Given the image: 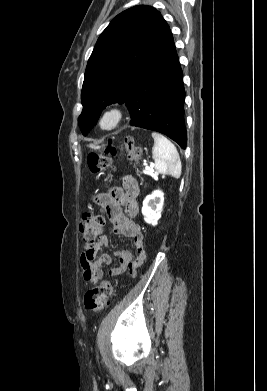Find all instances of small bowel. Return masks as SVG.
Instances as JSON below:
<instances>
[{"label":"small bowel","mask_w":267,"mask_h":391,"mask_svg":"<svg viewBox=\"0 0 267 391\" xmlns=\"http://www.w3.org/2000/svg\"><path fill=\"white\" fill-rule=\"evenodd\" d=\"M121 182V188L100 193L96 197L97 204L113 226V232L132 239L136 247L135 253L130 250L114 252L119 258V263L109 272L113 277L125 273L135 275L146 258L143 232L139 224L133 220L139 212V186L136 179L130 175L123 176ZM102 248H108L106 236H100L92 248L84 250L80 257L83 277L92 286L98 284L103 277V268L112 262L109 254H99Z\"/></svg>","instance_id":"c3829d8e"}]
</instances>
